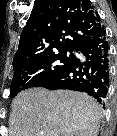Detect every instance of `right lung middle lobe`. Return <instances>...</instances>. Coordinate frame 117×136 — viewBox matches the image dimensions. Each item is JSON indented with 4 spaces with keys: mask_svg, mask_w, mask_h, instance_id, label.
Masks as SVG:
<instances>
[{
    "mask_svg": "<svg viewBox=\"0 0 117 136\" xmlns=\"http://www.w3.org/2000/svg\"><path fill=\"white\" fill-rule=\"evenodd\" d=\"M73 58L72 53L62 51L15 68L10 97H15L24 89L38 87L42 82L64 69Z\"/></svg>",
    "mask_w": 117,
    "mask_h": 136,
    "instance_id": "dd1d6c3e",
    "label": "right lung middle lobe"
}]
</instances>
